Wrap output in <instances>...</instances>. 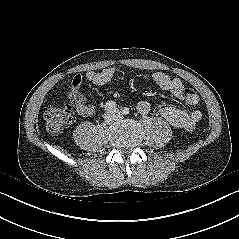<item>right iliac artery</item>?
Instances as JSON below:
<instances>
[{"label":"right iliac artery","instance_id":"obj_1","mask_svg":"<svg viewBox=\"0 0 239 239\" xmlns=\"http://www.w3.org/2000/svg\"><path fill=\"white\" fill-rule=\"evenodd\" d=\"M116 107V103L114 101H111V102H108L106 103L105 105V111H109V110H112Z\"/></svg>","mask_w":239,"mask_h":239}]
</instances>
